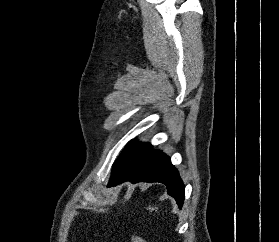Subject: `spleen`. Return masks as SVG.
Masks as SVG:
<instances>
[{
	"label": "spleen",
	"instance_id": "1",
	"mask_svg": "<svg viewBox=\"0 0 279 242\" xmlns=\"http://www.w3.org/2000/svg\"><path fill=\"white\" fill-rule=\"evenodd\" d=\"M150 210H154V208H149Z\"/></svg>",
	"mask_w": 279,
	"mask_h": 242
}]
</instances>
